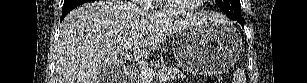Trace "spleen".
I'll use <instances>...</instances> for the list:
<instances>
[{
    "label": "spleen",
    "mask_w": 307,
    "mask_h": 83,
    "mask_svg": "<svg viewBox=\"0 0 307 83\" xmlns=\"http://www.w3.org/2000/svg\"><path fill=\"white\" fill-rule=\"evenodd\" d=\"M232 83H246L245 73L242 69L238 68L235 71Z\"/></svg>",
    "instance_id": "obj_1"
}]
</instances>
